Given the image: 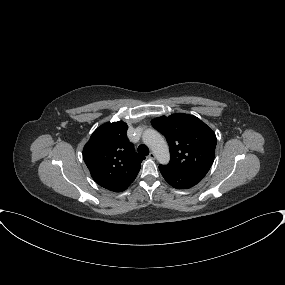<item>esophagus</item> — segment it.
Returning <instances> with one entry per match:
<instances>
[{
  "label": "esophagus",
  "instance_id": "1",
  "mask_svg": "<svg viewBox=\"0 0 285 285\" xmlns=\"http://www.w3.org/2000/svg\"><path fill=\"white\" fill-rule=\"evenodd\" d=\"M148 157H149L150 159H155V158H156L154 152H151Z\"/></svg>",
  "mask_w": 285,
  "mask_h": 285
}]
</instances>
